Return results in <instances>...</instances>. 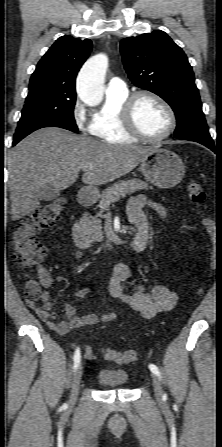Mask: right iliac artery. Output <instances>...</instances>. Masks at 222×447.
Wrapping results in <instances>:
<instances>
[{"label":"right iliac artery","instance_id":"obj_1","mask_svg":"<svg viewBox=\"0 0 222 447\" xmlns=\"http://www.w3.org/2000/svg\"><path fill=\"white\" fill-rule=\"evenodd\" d=\"M73 359H74V366H73V368H74V370H76L78 365H79V363H80V359H81L79 348L76 349V351L74 353Z\"/></svg>","mask_w":222,"mask_h":447}]
</instances>
